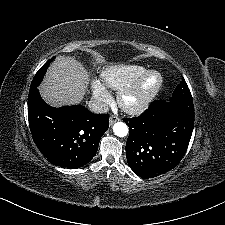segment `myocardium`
<instances>
[{
	"instance_id": "obj_1",
	"label": "myocardium",
	"mask_w": 225,
	"mask_h": 225,
	"mask_svg": "<svg viewBox=\"0 0 225 225\" xmlns=\"http://www.w3.org/2000/svg\"><path fill=\"white\" fill-rule=\"evenodd\" d=\"M162 85V74L155 69L147 70L131 86L120 92L118 104L127 114L139 115L148 108Z\"/></svg>"
}]
</instances>
